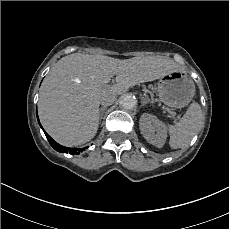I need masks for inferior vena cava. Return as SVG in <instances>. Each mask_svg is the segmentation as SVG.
I'll list each match as a JSON object with an SVG mask.
<instances>
[{"instance_id": "602c4592", "label": "inferior vena cava", "mask_w": 229, "mask_h": 229, "mask_svg": "<svg viewBox=\"0 0 229 229\" xmlns=\"http://www.w3.org/2000/svg\"><path fill=\"white\" fill-rule=\"evenodd\" d=\"M101 104H102L103 106L111 105V104H109L107 101H102Z\"/></svg>"}]
</instances>
